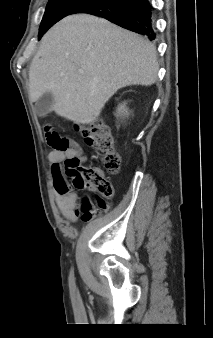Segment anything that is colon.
Returning a JSON list of instances; mask_svg holds the SVG:
<instances>
[{"instance_id": "5ec220e1", "label": "colon", "mask_w": 213, "mask_h": 338, "mask_svg": "<svg viewBox=\"0 0 213 338\" xmlns=\"http://www.w3.org/2000/svg\"><path fill=\"white\" fill-rule=\"evenodd\" d=\"M80 132L85 143L93 148L100 156L105 170L115 175L120 167V156L115 150L114 140L100 121L83 125ZM70 146L69 139L62 137L57 149L66 151ZM54 187L62 190L67 187L74 189H88L93 197L101 196L112 198L115 190L113 184L107 179L105 171L100 166L83 167L77 157L66 158L62 165L54 164L52 167ZM108 205L104 199H99L96 207L90 205L85 209L83 217L87 220L106 211Z\"/></svg>"}]
</instances>
